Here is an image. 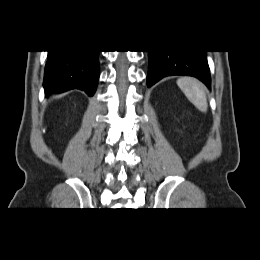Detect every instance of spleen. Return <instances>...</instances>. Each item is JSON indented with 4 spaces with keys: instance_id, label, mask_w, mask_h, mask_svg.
Here are the masks:
<instances>
[{
    "instance_id": "1",
    "label": "spleen",
    "mask_w": 260,
    "mask_h": 260,
    "mask_svg": "<svg viewBox=\"0 0 260 260\" xmlns=\"http://www.w3.org/2000/svg\"><path fill=\"white\" fill-rule=\"evenodd\" d=\"M177 85L185 94L187 99L201 112H206L208 108L205 88L197 79L183 77L177 80Z\"/></svg>"
}]
</instances>
